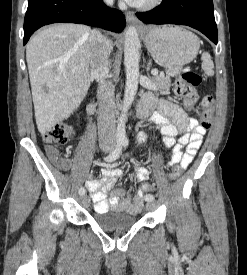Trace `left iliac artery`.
I'll return each mask as SVG.
<instances>
[{
	"label": "left iliac artery",
	"instance_id": "obj_1",
	"mask_svg": "<svg viewBox=\"0 0 247 275\" xmlns=\"http://www.w3.org/2000/svg\"><path fill=\"white\" fill-rule=\"evenodd\" d=\"M122 145L126 147L128 145V140L126 138L122 139ZM145 201H152L154 200V196L151 194H146L144 197Z\"/></svg>",
	"mask_w": 247,
	"mask_h": 275
}]
</instances>
